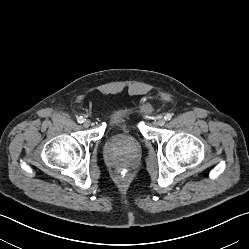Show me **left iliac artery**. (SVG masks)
Listing matches in <instances>:
<instances>
[{"label": "left iliac artery", "mask_w": 249, "mask_h": 249, "mask_svg": "<svg viewBox=\"0 0 249 249\" xmlns=\"http://www.w3.org/2000/svg\"><path fill=\"white\" fill-rule=\"evenodd\" d=\"M171 118H172V115L169 114V113H167V114L164 116V119H165L166 121L171 120Z\"/></svg>", "instance_id": "obj_1"}]
</instances>
